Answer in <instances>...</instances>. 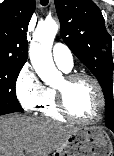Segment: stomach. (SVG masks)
Wrapping results in <instances>:
<instances>
[{
    "label": "stomach",
    "instance_id": "stomach-1",
    "mask_svg": "<svg viewBox=\"0 0 114 156\" xmlns=\"http://www.w3.org/2000/svg\"><path fill=\"white\" fill-rule=\"evenodd\" d=\"M108 134L98 127L78 128L54 153V156H113Z\"/></svg>",
    "mask_w": 114,
    "mask_h": 156
}]
</instances>
